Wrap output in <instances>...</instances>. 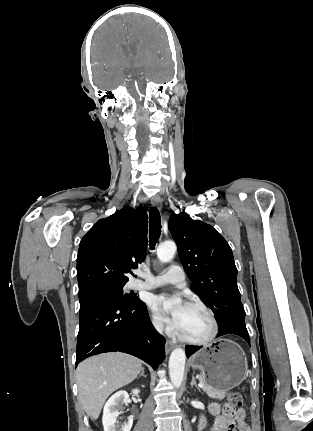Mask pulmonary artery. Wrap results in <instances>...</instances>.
<instances>
[{"label": "pulmonary artery", "instance_id": "pulmonary-artery-1", "mask_svg": "<svg viewBox=\"0 0 313 431\" xmlns=\"http://www.w3.org/2000/svg\"><path fill=\"white\" fill-rule=\"evenodd\" d=\"M164 285H173L177 288L185 286V274L178 265H171L167 271L151 279L137 280L133 283L135 289H154Z\"/></svg>", "mask_w": 313, "mask_h": 431}]
</instances>
